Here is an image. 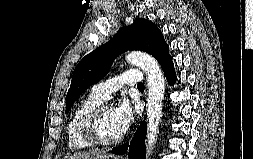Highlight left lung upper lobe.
Returning a JSON list of instances; mask_svg holds the SVG:
<instances>
[{
	"label": "left lung upper lobe",
	"mask_w": 253,
	"mask_h": 159,
	"mask_svg": "<svg viewBox=\"0 0 253 159\" xmlns=\"http://www.w3.org/2000/svg\"><path fill=\"white\" fill-rule=\"evenodd\" d=\"M127 50L145 51L154 56L161 66L171 57L162 32L149 20L137 18L132 25L121 28L108 43L78 63L66 96L65 113L81 93L109 72L114 59Z\"/></svg>",
	"instance_id": "1"
}]
</instances>
